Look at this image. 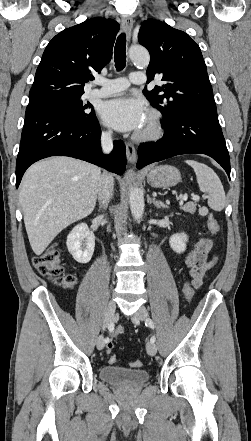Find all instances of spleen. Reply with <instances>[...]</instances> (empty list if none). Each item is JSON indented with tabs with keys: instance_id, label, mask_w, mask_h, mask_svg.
<instances>
[{
	"instance_id": "obj_1",
	"label": "spleen",
	"mask_w": 251,
	"mask_h": 441,
	"mask_svg": "<svg viewBox=\"0 0 251 441\" xmlns=\"http://www.w3.org/2000/svg\"><path fill=\"white\" fill-rule=\"evenodd\" d=\"M185 162L194 169L200 190L208 194V206L215 211L223 210L226 203L225 192L214 170L195 160Z\"/></svg>"
}]
</instances>
